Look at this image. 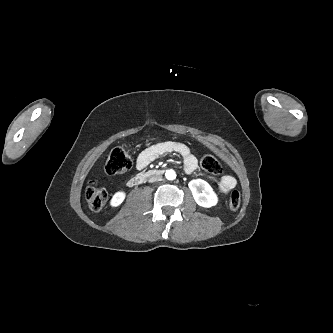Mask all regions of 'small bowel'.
I'll use <instances>...</instances> for the list:
<instances>
[{
  "instance_id": "small-bowel-1",
  "label": "small bowel",
  "mask_w": 333,
  "mask_h": 333,
  "mask_svg": "<svg viewBox=\"0 0 333 333\" xmlns=\"http://www.w3.org/2000/svg\"><path fill=\"white\" fill-rule=\"evenodd\" d=\"M169 153H176L183 158L187 173H191L196 169L197 158L190 148L184 143L174 141L157 143L143 150L137 158L136 167L138 170H142L160 156ZM235 186L236 180L230 175H224L219 180V189L222 193H228Z\"/></svg>"
}]
</instances>
